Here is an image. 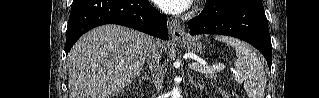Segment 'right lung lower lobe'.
Here are the masks:
<instances>
[{
	"mask_svg": "<svg viewBox=\"0 0 319 98\" xmlns=\"http://www.w3.org/2000/svg\"><path fill=\"white\" fill-rule=\"evenodd\" d=\"M103 24H119L168 40L166 18L145 0H73L66 54L81 35Z\"/></svg>",
	"mask_w": 319,
	"mask_h": 98,
	"instance_id": "1",
	"label": "right lung lower lobe"
}]
</instances>
